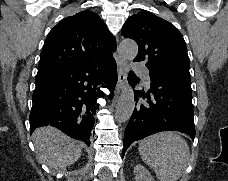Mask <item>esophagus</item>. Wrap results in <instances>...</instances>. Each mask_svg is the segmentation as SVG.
Segmentation results:
<instances>
[{
    "instance_id": "esophagus-1",
    "label": "esophagus",
    "mask_w": 228,
    "mask_h": 181,
    "mask_svg": "<svg viewBox=\"0 0 228 181\" xmlns=\"http://www.w3.org/2000/svg\"><path fill=\"white\" fill-rule=\"evenodd\" d=\"M128 66L126 60L119 55L118 57V81L116 93L119 94L128 87Z\"/></svg>"
}]
</instances>
